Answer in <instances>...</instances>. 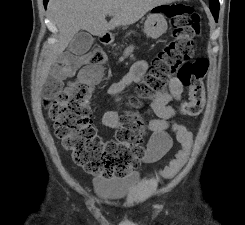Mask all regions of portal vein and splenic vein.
Segmentation results:
<instances>
[{
	"label": "portal vein and splenic vein",
	"instance_id": "1",
	"mask_svg": "<svg viewBox=\"0 0 245 225\" xmlns=\"http://www.w3.org/2000/svg\"><path fill=\"white\" fill-rule=\"evenodd\" d=\"M109 16H114V14L113 13H109Z\"/></svg>",
	"mask_w": 245,
	"mask_h": 225
}]
</instances>
